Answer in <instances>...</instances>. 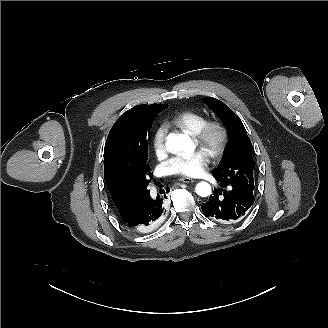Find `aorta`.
Returning <instances> with one entry per match:
<instances>
[{"instance_id":"obj_1","label":"aorta","mask_w":328,"mask_h":328,"mask_svg":"<svg viewBox=\"0 0 328 328\" xmlns=\"http://www.w3.org/2000/svg\"><path fill=\"white\" fill-rule=\"evenodd\" d=\"M166 148L171 153H191L194 151L195 145L188 135H169L166 141ZM195 191L199 196L207 197L211 194V186L203 181L196 185Z\"/></svg>"}]
</instances>
